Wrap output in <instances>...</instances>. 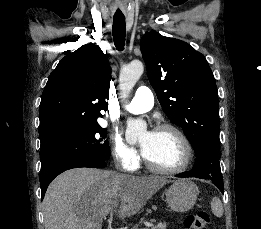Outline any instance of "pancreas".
<instances>
[{
    "mask_svg": "<svg viewBox=\"0 0 261 229\" xmlns=\"http://www.w3.org/2000/svg\"><path fill=\"white\" fill-rule=\"evenodd\" d=\"M151 229H166L165 223H158L156 227H151Z\"/></svg>",
    "mask_w": 261,
    "mask_h": 229,
    "instance_id": "cf45deb5",
    "label": "pancreas"
}]
</instances>
